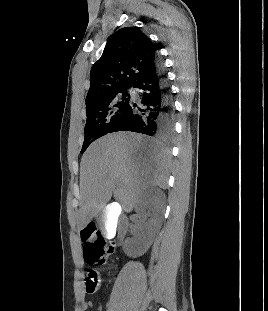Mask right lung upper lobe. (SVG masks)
Wrapping results in <instances>:
<instances>
[{
  "label": "right lung upper lobe",
  "instance_id": "1",
  "mask_svg": "<svg viewBox=\"0 0 268 311\" xmlns=\"http://www.w3.org/2000/svg\"><path fill=\"white\" fill-rule=\"evenodd\" d=\"M156 56L157 48L140 30L125 27L115 32L91 69L86 109L117 90L131 87L154 64Z\"/></svg>",
  "mask_w": 268,
  "mask_h": 311
}]
</instances>
